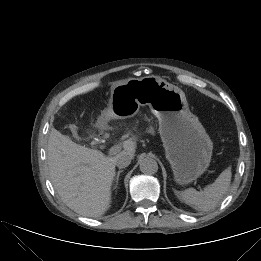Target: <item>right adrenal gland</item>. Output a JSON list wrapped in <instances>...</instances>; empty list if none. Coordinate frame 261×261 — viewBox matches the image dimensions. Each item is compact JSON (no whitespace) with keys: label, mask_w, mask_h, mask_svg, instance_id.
<instances>
[{"label":"right adrenal gland","mask_w":261,"mask_h":261,"mask_svg":"<svg viewBox=\"0 0 261 261\" xmlns=\"http://www.w3.org/2000/svg\"><path fill=\"white\" fill-rule=\"evenodd\" d=\"M122 172H123V170H119V171L117 172V175H116V177H115L116 186L118 185L119 176H120V174H121Z\"/></svg>","instance_id":"right-adrenal-gland-1"}]
</instances>
